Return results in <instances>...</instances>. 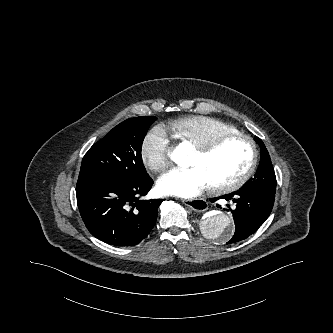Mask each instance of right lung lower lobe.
Listing matches in <instances>:
<instances>
[{
	"instance_id": "98d812e1",
	"label": "right lung lower lobe",
	"mask_w": 333,
	"mask_h": 333,
	"mask_svg": "<svg viewBox=\"0 0 333 333\" xmlns=\"http://www.w3.org/2000/svg\"><path fill=\"white\" fill-rule=\"evenodd\" d=\"M149 175L140 181L115 178L77 182L80 215L89 232L114 246H133L152 230L162 199L140 200L151 189Z\"/></svg>"
}]
</instances>
